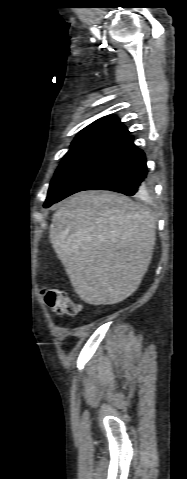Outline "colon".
Listing matches in <instances>:
<instances>
[{
    "instance_id": "5ec220e1",
    "label": "colon",
    "mask_w": 187,
    "mask_h": 479,
    "mask_svg": "<svg viewBox=\"0 0 187 479\" xmlns=\"http://www.w3.org/2000/svg\"><path fill=\"white\" fill-rule=\"evenodd\" d=\"M41 296L47 306L58 314L75 316L80 312V304L73 301L65 291L45 287L41 289Z\"/></svg>"
}]
</instances>
